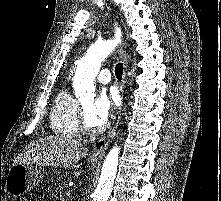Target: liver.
Returning <instances> with one entry per match:
<instances>
[{"instance_id": "obj_1", "label": "liver", "mask_w": 221, "mask_h": 201, "mask_svg": "<svg viewBox=\"0 0 221 201\" xmlns=\"http://www.w3.org/2000/svg\"><path fill=\"white\" fill-rule=\"evenodd\" d=\"M88 149L75 139L49 135L31 142L14 164H37L70 168L87 155Z\"/></svg>"}]
</instances>
